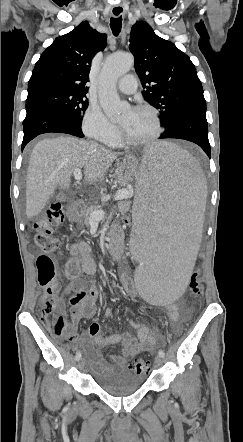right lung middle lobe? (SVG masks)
I'll return each instance as SVG.
<instances>
[{
  "label": "right lung middle lobe",
  "mask_w": 243,
  "mask_h": 442,
  "mask_svg": "<svg viewBox=\"0 0 243 442\" xmlns=\"http://www.w3.org/2000/svg\"><path fill=\"white\" fill-rule=\"evenodd\" d=\"M85 95L60 90L47 91L32 97H27L26 104L33 102H47L62 109L79 126L82 124L83 114L88 107Z\"/></svg>",
  "instance_id": "dd1d6c3e"
}]
</instances>
